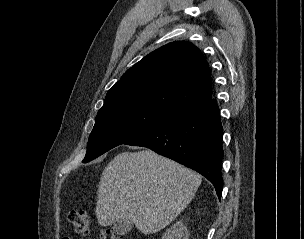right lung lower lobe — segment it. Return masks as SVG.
I'll use <instances>...</instances> for the list:
<instances>
[{"mask_svg": "<svg viewBox=\"0 0 304 239\" xmlns=\"http://www.w3.org/2000/svg\"><path fill=\"white\" fill-rule=\"evenodd\" d=\"M222 133L217 102L210 98L125 144L147 147L199 172L214 185L220 199Z\"/></svg>", "mask_w": 304, "mask_h": 239, "instance_id": "right-lung-lower-lobe-1", "label": "right lung lower lobe"}]
</instances>
